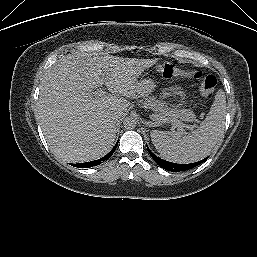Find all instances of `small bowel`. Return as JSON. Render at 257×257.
I'll list each match as a JSON object with an SVG mask.
<instances>
[{
	"label": "small bowel",
	"instance_id": "obj_1",
	"mask_svg": "<svg viewBox=\"0 0 257 257\" xmlns=\"http://www.w3.org/2000/svg\"><path fill=\"white\" fill-rule=\"evenodd\" d=\"M171 92H172L173 94H176V95L180 94V93H179L178 91H176L175 89H172Z\"/></svg>",
	"mask_w": 257,
	"mask_h": 257
}]
</instances>
